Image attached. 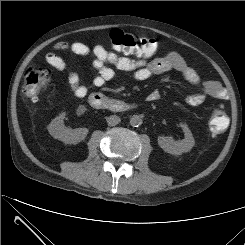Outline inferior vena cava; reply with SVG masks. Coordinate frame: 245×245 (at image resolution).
I'll return each instance as SVG.
<instances>
[{
	"label": "inferior vena cava",
	"mask_w": 245,
	"mask_h": 245,
	"mask_svg": "<svg viewBox=\"0 0 245 245\" xmlns=\"http://www.w3.org/2000/svg\"><path fill=\"white\" fill-rule=\"evenodd\" d=\"M120 118L117 115H111L107 117V123L109 126H115L120 123Z\"/></svg>",
	"instance_id": "1"
}]
</instances>
